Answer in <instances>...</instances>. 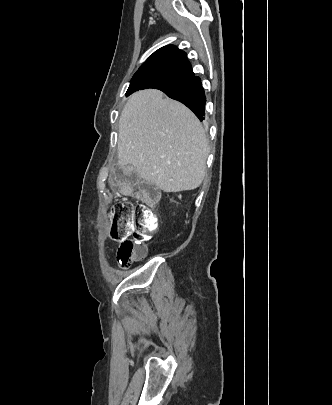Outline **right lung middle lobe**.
I'll return each mask as SVG.
<instances>
[{"label":"right lung middle lobe","mask_w":332,"mask_h":405,"mask_svg":"<svg viewBox=\"0 0 332 405\" xmlns=\"http://www.w3.org/2000/svg\"><path fill=\"white\" fill-rule=\"evenodd\" d=\"M182 81H184V79L180 76L170 75L162 72L149 71L135 73L127 92H134L146 88L163 89L176 85Z\"/></svg>","instance_id":"right-lung-middle-lobe-1"}]
</instances>
